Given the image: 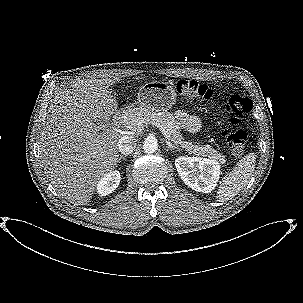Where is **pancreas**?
Here are the masks:
<instances>
[{
	"label": "pancreas",
	"mask_w": 303,
	"mask_h": 303,
	"mask_svg": "<svg viewBox=\"0 0 303 303\" xmlns=\"http://www.w3.org/2000/svg\"><path fill=\"white\" fill-rule=\"evenodd\" d=\"M160 123L163 125L170 134L171 140L174 144L180 145L183 149L188 151L189 154L196 156H205L215 161L225 162L224 156L217 150L213 149L210 145H200L199 143H192L185 141L180 133V125L175 120L173 114L168 111H140L129 113L125 119V126L131 130H140L144 125Z\"/></svg>",
	"instance_id": "obj_1"
}]
</instances>
